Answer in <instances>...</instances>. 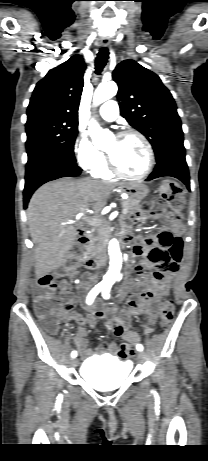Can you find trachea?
<instances>
[{
	"label": "trachea",
	"mask_w": 208,
	"mask_h": 461,
	"mask_svg": "<svg viewBox=\"0 0 208 461\" xmlns=\"http://www.w3.org/2000/svg\"><path fill=\"white\" fill-rule=\"evenodd\" d=\"M108 56H109V51L106 47H103L99 50V53L97 54V58L95 61V69H96L97 75H99L102 72L108 60Z\"/></svg>",
	"instance_id": "obj_1"
}]
</instances>
